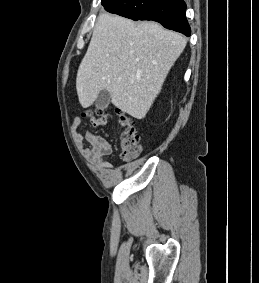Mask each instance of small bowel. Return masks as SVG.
Masks as SVG:
<instances>
[{
    "instance_id": "1",
    "label": "small bowel",
    "mask_w": 259,
    "mask_h": 283,
    "mask_svg": "<svg viewBox=\"0 0 259 283\" xmlns=\"http://www.w3.org/2000/svg\"><path fill=\"white\" fill-rule=\"evenodd\" d=\"M111 120V115H104L102 117H92L90 119V122L94 127H99L107 124ZM81 123L82 119L80 117H75L73 119L72 126L74 129H77L79 128ZM118 123L123 127V125L119 121ZM84 139L88 144V148L86 150L88 159L91 162L98 164L104 170L111 171L112 164L106 160V158L111 153V145L109 141L106 138L96 135L92 132H86Z\"/></svg>"
}]
</instances>
